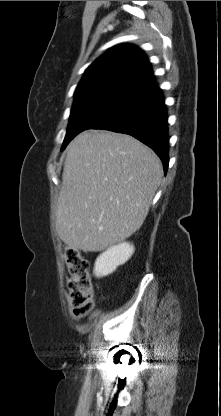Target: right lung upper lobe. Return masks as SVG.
<instances>
[{"instance_id":"1","label":"right lung upper lobe","mask_w":221,"mask_h":416,"mask_svg":"<svg viewBox=\"0 0 221 416\" xmlns=\"http://www.w3.org/2000/svg\"><path fill=\"white\" fill-rule=\"evenodd\" d=\"M156 86L147 57L133 45L115 46L85 71L75 91V98L112 93L129 96Z\"/></svg>"}]
</instances>
